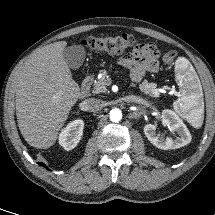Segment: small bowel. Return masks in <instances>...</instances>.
<instances>
[{
    "instance_id": "obj_1",
    "label": "small bowel",
    "mask_w": 215,
    "mask_h": 215,
    "mask_svg": "<svg viewBox=\"0 0 215 215\" xmlns=\"http://www.w3.org/2000/svg\"><path fill=\"white\" fill-rule=\"evenodd\" d=\"M158 50L152 43H141L119 59V64L130 70L131 80L140 82L146 73L159 71Z\"/></svg>"
}]
</instances>
